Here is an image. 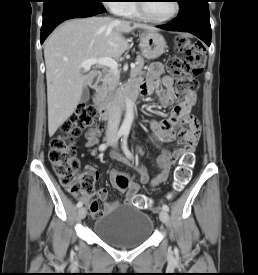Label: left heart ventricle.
Listing matches in <instances>:
<instances>
[{
	"label": "left heart ventricle",
	"mask_w": 258,
	"mask_h": 275,
	"mask_svg": "<svg viewBox=\"0 0 258 275\" xmlns=\"http://www.w3.org/2000/svg\"><path fill=\"white\" fill-rule=\"evenodd\" d=\"M145 3L148 14L154 18L162 19L173 14L175 10L174 1L161 0V1H147Z\"/></svg>",
	"instance_id": "1"
}]
</instances>
